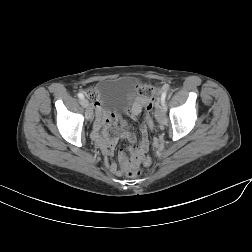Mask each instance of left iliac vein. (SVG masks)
<instances>
[{
    "label": "left iliac vein",
    "instance_id": "left-iliac-vein-1",
    "mask_svg": "<svg viewBox=\"0 0 252 252\" xmlns=\"http://www.w3.org/2000/svg\"><path fill=\"white\" fill-rule=\"evenodd\" d=\"M158 111L156 113V118L158 121L164 120L165 117V106L163 104L157 105Z\"/></svg>",
    "mask_w": 252,
    "mask_h": 252
}]
</instances>
